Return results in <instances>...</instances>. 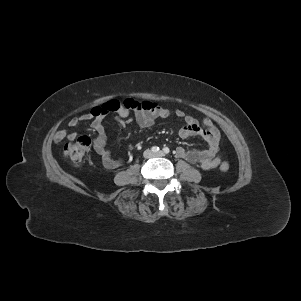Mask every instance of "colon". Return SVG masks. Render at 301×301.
Listing matches in <instances>:
<instances>
[{
	"label": "colon",
	"instance_id": "5ec220e1",
	"mask_svg": "<svg viewBox=\"0 0 301 301\" xmlns=\"http://www.w3.org/2000/svg\"><path fill=\"white\" fill-rule=\"evenodd\" d=\"M129 107L131 109H138V108H151L154 105H148L144 102H139L136 100L132 101H118V100H111L101 107H97L92 109V113L94 115L105 114L108 112H119L122 108ZM91 140L88 136H79L74 140L67 142L63 147V154L64 156L69 159L74 164L82 163L89 150H90ZM219 169L222 172H227L230 169V165L227 162H222L219 166Z\"/></svg>",
	"mask_w": 301,
	"mask_h": 301
}]
</instances>
